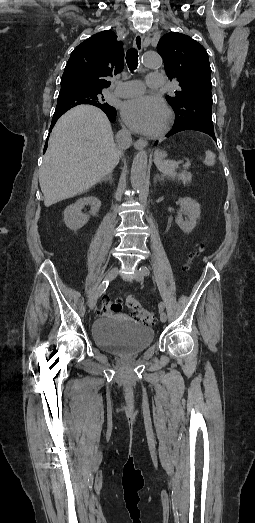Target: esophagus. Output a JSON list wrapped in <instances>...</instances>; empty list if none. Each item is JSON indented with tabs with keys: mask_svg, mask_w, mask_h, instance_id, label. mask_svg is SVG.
<instances>
[{
	"mask_svg": "<svg viewBox=\"0 0 255 523\" xmlns=\"http://www.w3.org/2000/svg\"><path fill=\"white\" fill-rule=\"evenodd\" d=\"M134 47L136 48V50H138L139 52H142V49H143V38L142 36L140 35V33H137V35H135V38H134ZM147 141L144 140L143 138H139V140H137L135 143H134V147L137 149V150H142L146 145H147Z\"/></svg>",
	"mask_w": 255,
	"mask_h": 523,
	"instance_id": "obj_1",
	"label": "esophagus"
}]
</instances>
